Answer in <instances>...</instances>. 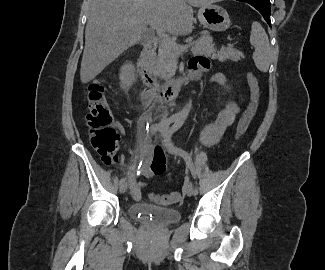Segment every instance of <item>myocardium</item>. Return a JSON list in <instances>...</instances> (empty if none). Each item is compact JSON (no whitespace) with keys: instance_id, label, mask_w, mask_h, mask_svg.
<instances>
[{"instance_id":"1","label":"myocardium","mask_w":325,"mask_h":270,"mask_svg":"<svg viewBox=\"0 0 325 270\" xmlns=\"http://www.w3.org/2000/svg\"><path fill=\"white\" fill-rule=\"evenodd\" d=\"M211 1H222V0H211Z\"/></svg>"}]
</instances>
